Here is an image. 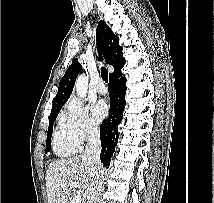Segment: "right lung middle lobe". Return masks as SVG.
I'll list each match as a JSON object with an SVG mask.
<instances>
[{
  "instance_id": "1",
  "label": "right lung middle lobe",
  "mask_w": 214,
  "mask_h": 203,
  "mask_svg": "<svg viewBox=\"0 0 214 203\" xmlns=\"http://www.w3.org/2000/svg\"><path fill=\"white\" fill-rule=\"evenodd\" d=\"M58 113L50 115V118H49V128H48V132H47V144H46L45 153H47L51 149V134H52V129H53V123L56 120Z\"/></svg>"
}]
</instances>
